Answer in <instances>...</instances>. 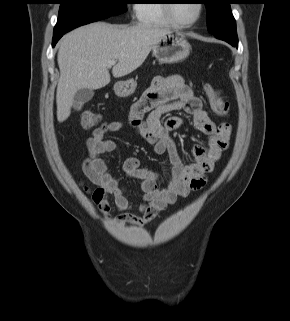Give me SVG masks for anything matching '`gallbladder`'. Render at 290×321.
<instances>
[{
  "label": "gallbladder",
  "instance_id": "1",
  "mask_svg": "<svg viewBox=\"0 0 290 321\" xmlns=\"http://www.w3.org/2000/svg\"><path fill=\"white\" fill-rule=\"evenodd\" d=\"M94 96V91L92 89L83 88L76 92L73 99V108L80 110L82 106L90 101Z\"/></svg>",
  "mask_w": 290,
  "mask_h": 321
}]
</instances>
